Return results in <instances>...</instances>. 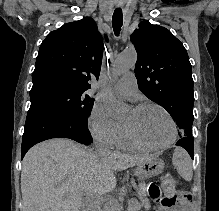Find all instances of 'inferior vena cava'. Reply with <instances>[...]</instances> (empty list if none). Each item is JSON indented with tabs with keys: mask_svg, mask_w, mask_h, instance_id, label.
<instances>
[{
	"mask_svg": "<svg viewBox=\"0 0 219 211\" xmlns=\"http://www.w3.org/2000/svg\"><path fill=\"white\" fill-rule=\"evenodd\" d=\"M94 147V153H97V155H101V153H111V151H108L106 145L99 143V141H94ZM85 205L89 207L91 204L87 202ZM82 211H95V208H82Z\"/></svg>",
	"mask_w": 219,
	"mask_h": 211,
	"instance_id": "1",
	"label": "inferior vena cava"
}]
</instances>
